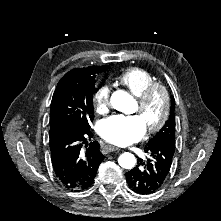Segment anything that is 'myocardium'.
I'll use <instances>...</instances> for the list:
<instances>
[{
    "label": "myocardium",
    "instance_id": "1",
    "mask_svg": "<svg viewBox=\"0 0 221 221\" xmlns=\"http://www.w3.org/2000/svg\"><path fill=\"white\" fill-rule=\"evenodd\" d=\"M158 94L161 95L163 98V109L158 121L155 124L149 125L146 128L148 134H154L160 131L167 123L171 111L170 95L164 85L156 82L149 86L142 93V95L138 97L139 110L140 112H144L147 109L152 98Z\"/></svg>",
    "mask_w": 221,
    "mask_h": 221
}]
</instances>
